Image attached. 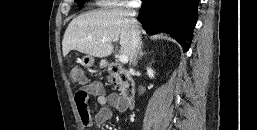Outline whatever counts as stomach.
Segmentation results:
<instances>
[{"label":"stomach","instance_id":"1","mask_svg":"<svg viewBox=\"0 0 257 130\" xmlns=\"http://www.w3.org/2000/svg\"><path fill=\"white\" fill-rule=\"evenodd\" d=\"M83 64L88 66V67H91L93 66L94 64V58L90 55H85L83 60H82ZM101 66H104L105 65V61L102 60L101 63H100Z\"/></svg>","mask_w":257,"mask_h":130}]
</instances>
